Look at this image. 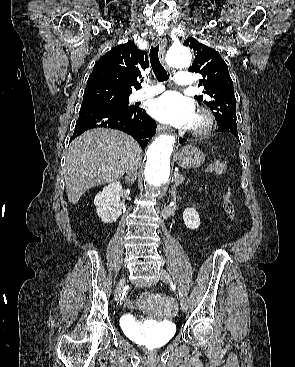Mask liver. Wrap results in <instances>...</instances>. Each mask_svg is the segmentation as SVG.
Segmentation results:
<instances>
[{
	"instance_id": "6515ba94",
	"label": "liver",
	"mask_w": 295,
	"mask_h": 367,
	"mask_svg": "<svg viewBox=\"0 0 295 367\" xmlns=\"http://www.w3.org/2000/svg\"><path fill=\"white\" fill-rule=\"evenodd\" d=\"M139 144L117 130L97 128L73 140L66 156L64 179L70 203L90 188L111 183L141 157Z\"/></svg>"
}]
</instances>
